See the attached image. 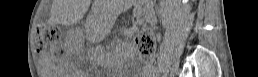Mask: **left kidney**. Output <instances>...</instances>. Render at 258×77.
I'll list each match as a JSON object with an SVG mask.
<instances>
[{"label":"left kidney","mask_w":258,"mask_h":77,"mask_svg":"<svg viewBox=\"0 0 258 77\" xmlns=\"http://www.w3.org/2000/svg\"><path fill=\"white\" fill-rule=\"evenodd\" d=\"M188 0H183V2H187Z\"/></svg>","instance_id":"obj_1"}]
</instances>
